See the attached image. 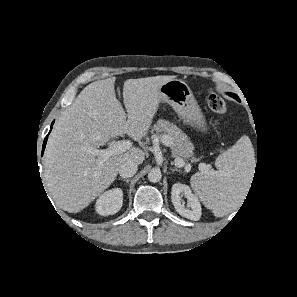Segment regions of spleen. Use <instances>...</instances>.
<instances>
[{
	"label": "spleen",
	"mask_w": 297,
	"mask_h": 297,
	"mask_svg": "<svg viewBox=\"0 0 297 297\" xmlns=\"http://www.w3.org/2000/svg\"><path fill=\"white\" fill-rule=\"evenodd\" d=\"M215 175L196 173L191 186L216 217L229 214L237 207L249 187L254 166V149L250 139L241 137L231 148L220 154Z\"/></svg>",
	"instance_id": "1"
}]
</instances>
